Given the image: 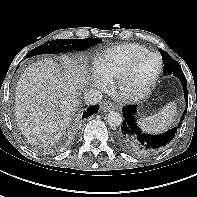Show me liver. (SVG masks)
Wrapping results in <instances>:
<instances>
[{
  "mask_svg": "<svg viewBox=\"0 0 197 197\" xmlns=\"http://www.w3.org/2000/svg\"><path fill=\"white\" fill-rule=\"evenodd\" d=\"M88 72L86 63L67 55L62 56V67L52 58L29 65L15 92V117L22 134L34 144H55L79 105Z\"/></svg>",
  "mask_w": 197,
  "mask_h": 197,
  "instance_id": "1",
  "label": "liver"
}]
</instances>
